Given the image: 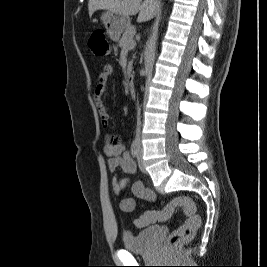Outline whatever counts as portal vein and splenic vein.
<instances>
[{"label":"portal vein and splenic vein","mask_w":267,"mask_h":267,"mask_svg":"<svg viewBox=\"0 0 267 267\" xmlns=\"http://www.w3.org/2000/svg\"><path fill=\"white\" fill-rule=\"evenodd\" d=\"M134 46H135V43L132 42V43H130V44L127 45V48H133Z\"/></svg>","instance_id":"obj_1"}]
</instances>
